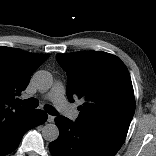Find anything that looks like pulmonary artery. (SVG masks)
<instances>
[{
    "instance_id": "e3ab8cb5",
    "label": "pulmonary artery",
    "mask_w": 156,
    "mask_h": 156,
    "mask_svg": "<svg viewBox=\"0 0 156 156\" xmlns=\"http://www.w3.org/2000/svg\"><path fill=\"white\" fill-rule=\"evenodd\" d=\"M65 87L61 82H55L51 90L46 94L45 99L52 101L66 117L76 120L78 112L65 99Z\"/></svg>"
}]
</instances>
